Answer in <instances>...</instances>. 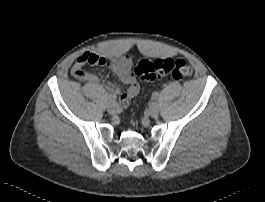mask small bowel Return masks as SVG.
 Listing matches in <instances>:
<instances>
[{
	"mask_svg": "<svg viewBox=\"0 0 265 202\" xmlns=\"http://www.w3.org/2000/svg\"><path fill=\"white\" fill-rule=\"evenodd\" d=\"M106 66L113 70L117 77L127 86L122 90L113 83L101 81L93 73H84L80 78L92 85L104 86L114 97H118L121 105H126L139 92V85L131 75V60L125 56L106 57L104 54L95 51H85L79 55L74 72L83 69L84 66Z\"/></svg>",
	"mask_w": 265,
	"mask_h": 202,
	"instance_id": "c3829d8e",
	"label": "small bowel"
}]
</instances>
